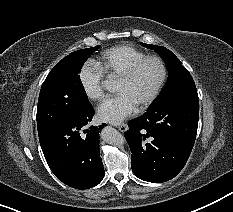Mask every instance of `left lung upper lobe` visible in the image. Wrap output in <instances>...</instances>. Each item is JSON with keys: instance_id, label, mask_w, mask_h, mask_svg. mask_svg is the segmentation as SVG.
Instances as JSON below:
<instances>
[{"instance_id": "left-lung-upper-lobe-1", "label": "left lung upper lobe", "mask_w": 233, "mask_h": 212, "mask_svg": "<svg viewBox=\"0 0 233 212\" xmlns=\"http://www.w3.org/2000/svg\"><path fill=\"white\" fill-rule=\"evenodd\" d=\"M141 44L157 52L166 62L169 71V77L164 88L152 104L165 102L173 98L198 99L193 78L180 60L170 50L163 46Z\"/></svg>"}]
</instances>
